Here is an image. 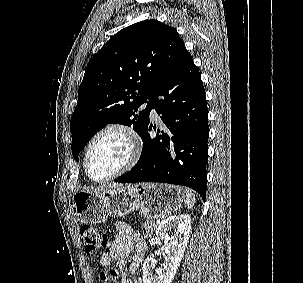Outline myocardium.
<instances>
[{
  "label": "myocardium",
  "instance_id": "f54148a6",
  "mask_svg": "<svg viewBox=\"0 0 303 283\" xmlns=\"http://www.w3.org/2000/svg\"><path fill=\"white\" fill-rule=\"evenodd\" d=\"M108 132H119L127 138L128 142L130 144L129 158L122 167H120L118 170H116L111 175H109L105 178L96 179V178L92 177L89 173L88 156H89L90 150H91L93 144L96 142V140ZM141 152H142L141 139H140L139 135L137 134V132L131 126L123 124V123H119V122L109 123V124L105 125L104 127H102L99 131H97L93 135V137L90 139V141L88 142V144L85 148L84 156H83L84 171H85L87 177L90 180H92L93 182H97V183L107 182V181L120 177L121 175L127 173L132 168H134V166L137 164V162L140 159Z\"/></svg>",
  "mask_w": 303,
  "mask_h": 283
}]
</instances>
